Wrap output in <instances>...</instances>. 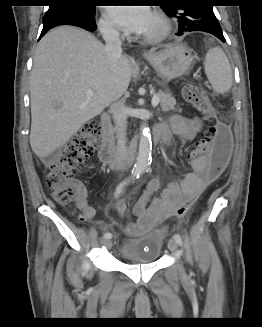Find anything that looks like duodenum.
Wrapping results in <instances>:
<instances>
[{"label":"duodenum","instance_id":"1","mask_svg":"<svg viewBox=\"0 0 262 327\" xmlns=\"http://www.w3.org/2000/svg\"><path fill=\"white\" fill-rule=\"evenodd\" d=\"M102 138L98 149V157L100 161L108 165H128L132 160V155L136 151L139 140H134L124 150L118 151L115 146L113 126L110 113L106 112L101 117ZM158 126L153 128V140H158Z\"/></svg>","mask_w":262,"mask_h":327}]
</instances>
